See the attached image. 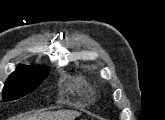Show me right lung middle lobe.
Segmentation results:
<instances>
[{
  "label": "right lung middle lobe",
  "instance_id": "1",
  "mask_svg": "<svg viewBox=\"0 0 165 120\" xmlns=\"http://www.w3.org/2000/svg\"><path fill=\"white\" fill-rule=\"evenodd\" d=\"M49 74V68L38 66H20L5 82L3 89L4 102L13 101L33 92L45 77Z\"/></svg>",
  "mask_w": 165,
  "mask_h": 120
}]
</instances>
